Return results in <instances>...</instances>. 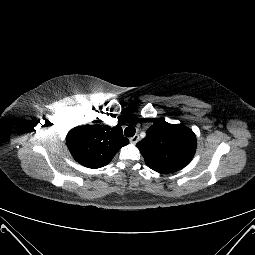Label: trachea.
I'll return each mask as SVG.
<instances>
[{"label":"trachea","mask_w":255,"mask_h":255,"mask_svg":"<svg viewBox=\"0 0 255 255\" xmlns=\"http://www.w3.org/2000/svg\"><path fill=\"white\" fill-rule=\"evenodd\" d=\"M136 130L133 126H129L124 130V134L126 137H133Z\"/></svg>","instance_id":"trachea-1"}]
</instances>
